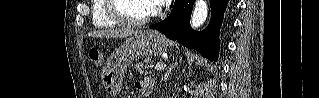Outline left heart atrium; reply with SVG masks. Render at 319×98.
<instances>
[{
    "label": "left heart atrium",
    "instance_id": "1",
    "mask_svg": "<svg viewBox=\"0 0 319 98\" xmlns=\"http://www.w3.org/2000/svg\"><path fill=\"white\" fill-rule=\"evenodd\" d=\"M151 8L153 12L160 11L163 7L171 2V0H151Z\"/></svg>",
    "mask_w": 319,
    "mask_h": 98
}]
</instances>
